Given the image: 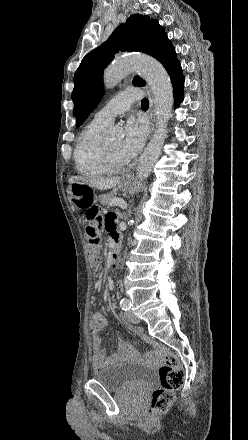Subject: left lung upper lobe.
I'll return each instance as SVG.
<instances>
[{
	"mask_svg": "<svg viewBox=\"0 0 248 440\" xmlns=\"http://www.w3.org/2000/svg\"><path fill=\"white\" fill-rule=\"evenodd\" d=\"M140 51L156 58L169 75L182 74L175 49L157 20L140 14L131 15L101 46L88 53L75 72L72 100L76 125L80 126L96 107L103 94V71L118 50ZM133 84L143 86L145 81L134 77Z\"/></svg>",
	"mask_w": 248,
	"mask_h": 440,
	"instance_id": "left-lung-upper-lobe-1",
	"label": "left lung upper lobe"
}]
</instances>
